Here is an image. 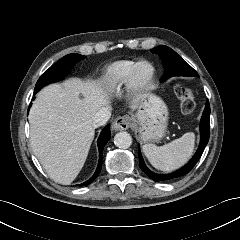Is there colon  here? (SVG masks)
Instances as JSON below:
<instances>
[{
    "instance_id": "1",
    "label": "colon",
    "mask_w": 240,
    "mask_h": 240,
    "mask_svg": "<svg viewBox=\"0 0 240 240\" xmlns=\"http://www.w3.org/2000/svg\"><path fill=\"white\" fill-rule=\"evenodd\" d=\"M174 92L181 101L183 112L192 113L196 105L192 89L185 85L177 84L174 87Z\"/></svg>"
}]
</instances>
